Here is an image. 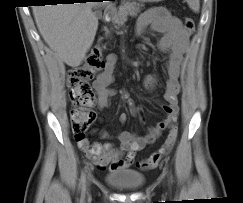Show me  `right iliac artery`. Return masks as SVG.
<instances>
[{"label":"right iliac artery","mask_w":243,"mask_h":203,"mask_svg":"<svg viewBox=\"0 0 243 203\" xmlns=\"http://www.w3.org/2000/svg\"><path fill=\"white\" fill-rule=\"evenodd\" d=\"M85 183H86V172L83 171L81 173V178H80V187H81L82 193L85 191V187H86Z\"/></svg>","instance_id":"obj_1"}]
</instances>
